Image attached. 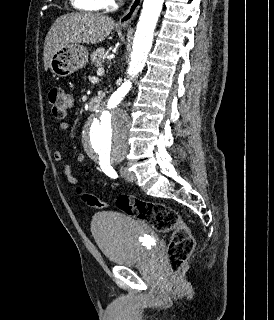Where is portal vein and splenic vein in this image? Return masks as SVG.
<instances>
[{"mask_svg":"<svg viewBox=\"0 0 274 320\" xmlns=\"http://www.w3.org/2000/svg\"><path fill=\"white\" fill-rule=\"evenodd\" d=\"M97 74L98 76H100V74H104V68H98Z\"/></svg>","mask_w":274,"mask_h":320,"instance_id":"1","label":"portal vein and splenic vein"}]
</instances>
